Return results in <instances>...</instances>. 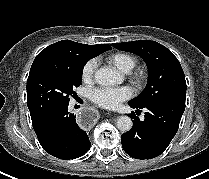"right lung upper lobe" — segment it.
<instances>
[{"instance_id":"cb5924a9","label":"right lung upper lobe","mask_w":209,"mask_h":179,"mask_svg":"<svg viewBox=\"0 0 209 179\" xmlns=\"http://www.w3.org/2000/svg\"><path fill=\"white\" fill-rule=\"evenodd\" d=\"M111 49L108 44L87 45L70 40L56 42L43 49L35 58L32 65L41 63H65L82 56H97Z\"/></svg>"}]
</instances>
